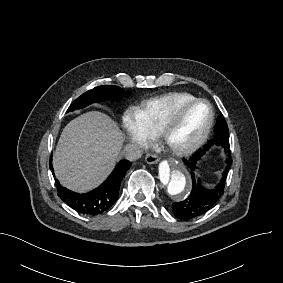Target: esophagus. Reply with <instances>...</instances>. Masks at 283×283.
Masks as SVG:
<instances>
[{"label":"esophagus","mask_w":283,"mask_h":283,"mask_svg":"<svg viewBox=\"0 0 283 283\" xmlns=\"http://www.w3.org/2000/svg\"><path fill=\"white\" fill-rule=\"evenodd\" d=\"M145 161L148 164H155L159 161V156L156 155V154H153V153H149V154L146 155Z\"/></svg>","instance_id":"34e87169"}]
</instances>
